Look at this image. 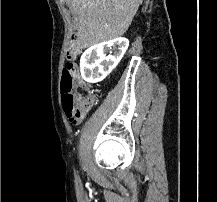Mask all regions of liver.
<instances>
[{"mask_svg": "<svg viewBox=\"0 0 217 202\" xmlns=\"http://www.w3.org/2000/svg\"><path fill=\"white\" fill-rule=\"evenodd\" d=\"M78 20L77 44L90 48L127 32L143 0H66Z\"/></svg>", "mask_w": 217, "mask_h": 202, "instance_id": "1", "label": "liver"}]
</instances>
